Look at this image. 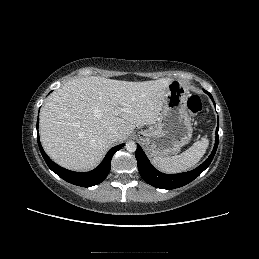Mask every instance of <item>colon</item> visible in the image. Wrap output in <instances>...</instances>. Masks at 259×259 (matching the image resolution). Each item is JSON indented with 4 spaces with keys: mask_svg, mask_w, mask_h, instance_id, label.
Segmentation results:
<instances>
[{
    "mask_svg": "<svg viewBox=\"0 0 259 259\" xmlns=\"http://www.w3.org/2000/svg\"><path fill=\"white\" fill-rule=\"evenodd\" d=\"M186 107L192 116L199 114L202 108V103L197 95H191L186 101Z\"/></svg>",
    "mask_w": 259,
    "mask_h": 259,
    "instance_id": "colon-1",
    "label": "colon"
}]
</instances>
